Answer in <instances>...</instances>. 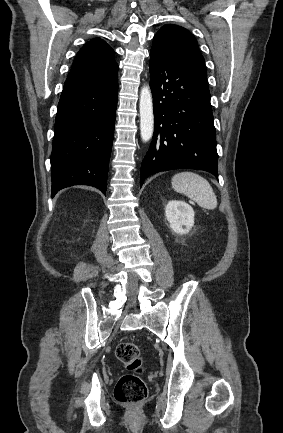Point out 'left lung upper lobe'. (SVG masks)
<instances>
[{
    "mask_svg": "<svg viewBox=\"0 0 283 433\" xmlns=\"http://www.w3.org/2000/svg\"><path fill=\"white\" fill-rule=\"evenodd\" d=\"M150 52L191 65L206 76V66L197 41L187 29L181 26L164 25L155 34ZM208 105L211 107L210 95Z\"/></svg>",
    "mask_w": 283,
    "mask_h": 433,
    "instance_id": "1",
    "label": "left lung upper lobe"
}]
</instances>
